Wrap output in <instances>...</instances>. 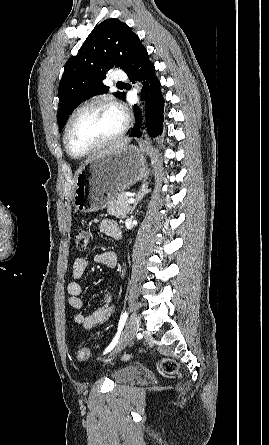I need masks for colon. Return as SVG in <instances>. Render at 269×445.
Returning <instances> with one entry per match:
<instances>
[{
    "label": "colon",
    "mask_w": 269,
    "mask_h": 445,
    "mask_svg": "<svg viewBox=\"0 0 269 445\" xmlns=\"http://www.w3.org/2000/svg\"><path fill=\"white\" fill-rule=\"evenodd\" d=\"M91 238L90 231L87 229H79L74 235V248L75 251L80 253L86 250ZM90 349L82 347L77 350L76 356L79 360H85L90 356ZM130 359L129 354H124L120 357V360L127 361ZM160 369L166 374H175L178 372V364L171 359H164L160 363Z\"/></svg>",
    "instance_id": "colon-1"
}]
</instances>
